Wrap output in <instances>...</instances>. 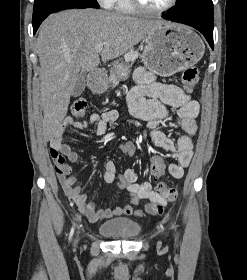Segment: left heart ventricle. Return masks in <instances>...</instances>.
<instances>
[{
    "label": "left heart ventricle",
    "mask_w": 247,
    "mask_h": 280,
    "mask_svg": "<svg viewBox=\"0 0 247 280\" xmlns=\"http://www.w3.org/2000/svg\"><path fill=\"white\" fill-rule=\"evenodd\" d=\"M140 1L143 3V5H145L148 8L157 9L166 6L170 0H140Z\"/></svg>",
    "instance_id": "left-heart-ventricle-1"
}]
</instances>
